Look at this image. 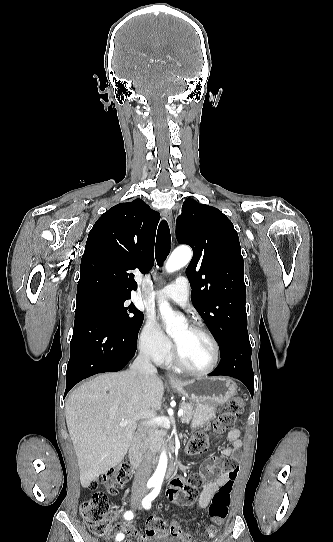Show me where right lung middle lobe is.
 Wrapping results in <instances>:
<instances>
[{"label":"right lung middle lobe","instance_id":"dd1d6c3e","mask_svg":"<svg viewBox=\"0 0 333 542\" xmlns=\"http://www.w3.org/2000/svg\"><path fill=\"white\" fill-rule=\"evenodd\" d=\"M77 306L92 307L105 315L112 324L131 337H137L144 315L133 304L105 294H92Z\"/></svg>","mask_w":333,"mask_h":542}]
</instances>
